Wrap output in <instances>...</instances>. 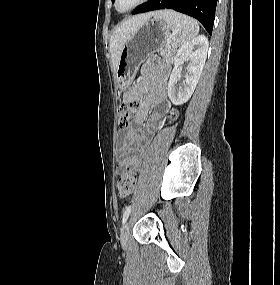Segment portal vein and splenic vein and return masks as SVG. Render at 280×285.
<instances>
[{
    "mask_svg": "<svg viewBox=\"0 0 280 285\" xmlns=\"http://www.w3.org/2000/svg\"><path fill=\"white\" fill-rule=\"evenodd\" d=\"M170 43H171V40H170V39H168V40H167L166 47H170Z\"/></svg>",
    "mask_w": 280,
    "mask_h": 285,
    "instance_id": "obj_1",
    "label": "portal vein and splenic vein"
}]
</instances>
